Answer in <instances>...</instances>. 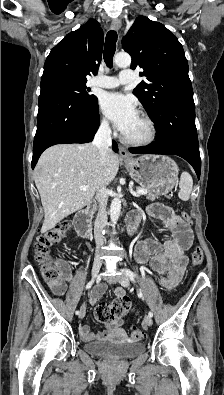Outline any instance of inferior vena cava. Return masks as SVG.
Returning a JSON list of instances; mask_svg holds the SVG:
<instances>
[{"mask_svg":"<svg viewBox=\"0 0 224 395\" xmlns=\"http://www.w3.org/2000/svg\"><path fill=\"white\" fill-rule=\"evenodd\" d=\"M94 146L98 149L100 154V164L102 167L106 165L107 153L110 151L112 145L111 129L107 121H102L100 127L95 134L93 140ZM108 190L104 184H102L96 191V200L98 202V213L94 225V238L96 242V250L98 251L104 245L103 230L107 225V200Z\"/></svg>","mask_w":224,"mask_h":395,"instance_id":"1","label":"inferior vena cava"}]
</instances>
